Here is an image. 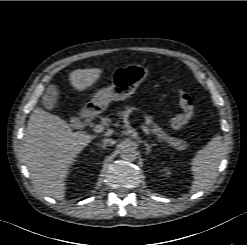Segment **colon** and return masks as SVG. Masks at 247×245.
I'll list each match as a JSON object with an SVG mask.
<instances>
[{
  "label": "colon",
  "instance_id": "colon-1",
  "mask_svg": "<svg viewBox=\"0 0 247 245\" xmlns=\"http://www.w3.org/2000/svg\"><path fill=\"white\" fill-rule=\"evenodd\" d=\"M181 113L171 119V126L174 129H181L188 124L195 112V102L193 97L185 90H180L178 94Z\"/></svg>",
  "mask_w": 247,
  "mask_h": 245
}]
</instances>
